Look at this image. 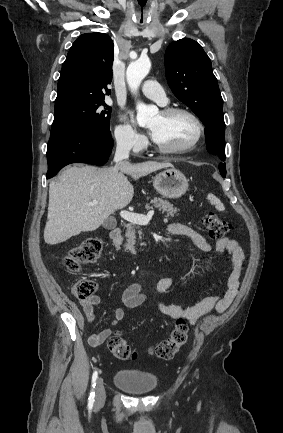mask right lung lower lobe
I'll return each mask as SVG.
<instances>
[{
	"instance_id": "98d812e1",
	"label": "right lung lower lobe",
	"mask_w": 283,
	"mask_h": 433,
	"mask_svg": "<svg viewBox=\"0 0 283 433\" xmlns=\"http://www.w3.org/2000/svg\"><path fill=\"white\" fill-rule=\"evenodd\" d=\"M112 147L111 136H104L97 131L81 128L51 130L47 149L46 178H52L70 163L104 165Z\"/></svg>"
}]
</instances>
